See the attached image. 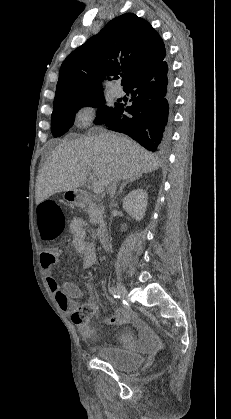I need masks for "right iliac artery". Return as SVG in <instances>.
<instances>
[{
    "instance_id": "right-iliac-artery-1",
    "label": "right iliac artery",
    "mask_w": 231,
    "mask_h": 419,
    "mask_svg": "<svg viewBox=\"0 0 231 419\" xmlns=\"http://www.w3.org/2000/svg\"><path fill=\"white\" fill-rule=\"evenodd\" d=\"M109 292L114 298H120V294L116 288L110 287Z\"/></svg>"
}]
</instances>
